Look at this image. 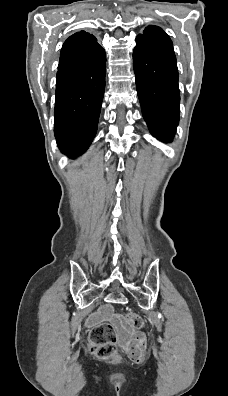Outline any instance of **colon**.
Segmentation results:
<instances>
[{"instance_id": "1", "label": "colon", "mask_w": 228, "mask_h": 396, "mask_svg": "<svg viewBox=\"0 0 228 396\" xmlns=\"http://www.w3.org/2000/svg\"><path fill=\"white\" fill-rule=\"evenodd\" d=\"M123 324L131 331H137L143 326V320L135 313L128 312L123 316ZM90 351L99 358H110L116 352L117 336L110 323L95 326L89 335Z\"/></svg>"}]
</instances>
